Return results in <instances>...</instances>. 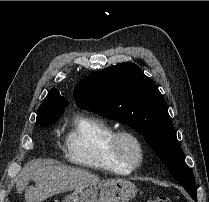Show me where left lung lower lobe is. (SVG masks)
<instances>
[{"mask_svg": "<svg viewBox=\"0 0 209 202\" xmlns=\"http://www.w3.org/2000/svg\"><path fill=\"white\" fill-rule=\"evenodd\" d=\"M192 199H193V200H195V201H197V197H195V196H194V197H192Z\"/></svg>", "mask_w": 209, "mask_h": 202, "instance_id": "0a47b994", "label": "left lung lower lobe"}]
</instances>
